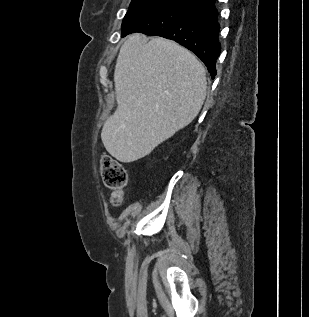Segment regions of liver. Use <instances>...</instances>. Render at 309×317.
Instances as JSON below:
<instances>
[{"label":"liver","mask_w":309,"mask_h":317,"mask_svg":"<svg viewBox=\"0 0 309 317\" xmlns=\"http://www.w3.org/2000/svg\"><path fill=\"white\" fill-rule=\"evenodd\" d=\"M117 109L101 139L111 156L133 162L191 123L206 97V72L190 51L161 37L132 34L114 71Z\"/></svg>","instance_id":"6515ba94"}]
</instances>
